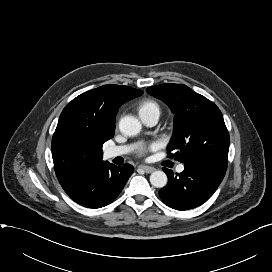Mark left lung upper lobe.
Wrapping results in <instances>:
<instances>
[{
	"label": "left lung upper lobe",
	"mask_w": 272,
	"mask_h": 272,
	"mask_svg": "<svg viewBox=\"0 0 272 272\" xmlns=\"http://www.w3.org/2000/svg\"><path fill=\"white\" fill-rule=\"evenodd\" d=\"M174 113L168 156L185 164L228 159L229 133L219 108L183 84H161L146 90ZM174 152V153H171Z\"/></svg>",
	"instance_id": "5c2ea615"
}]
</instances>
